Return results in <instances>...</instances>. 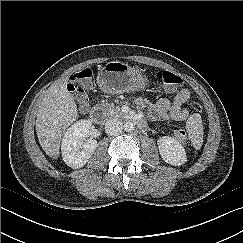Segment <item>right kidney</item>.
I'll return each instance as SVG.
<instances>
[{
	"instance_id": "right-kidney-1",
	"label": "right kidney",
	"mask_w": 243,
	"mask_h": 243,
	"mask_svg": "<svg viewBox=\"0 0 243 243\" xmlns=\"http://www.w3.org/2000/svg\"><path fill=\"white\" fill-rule=\"evenodd\" d=\"M92 123L82 119L72 124L64 133L61 143L63 161L67 166L78 169L83 167L94 154L98 144L89 138Z\"/></svg>"
}]
</instances>
